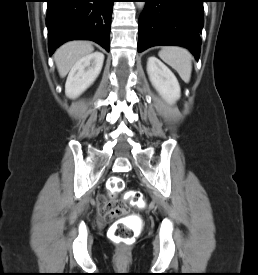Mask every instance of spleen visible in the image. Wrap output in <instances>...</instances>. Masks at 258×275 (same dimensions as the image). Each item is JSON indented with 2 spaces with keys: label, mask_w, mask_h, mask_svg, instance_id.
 I'll use <instances>...</instances> for the list:
<instances>
[{
  "label": "spleen",
  "mask_w": 258,
  "mask_h": 275,
  "mask_svg": "<svg viewBox=\"0 0 258 275\" xmlns=\"http://www.w3.org/2000/svg\"><path fill=\"white\" fill-rule=\"evenodd\" d=\"M159 56L164 62L178 72L185 83L190 81L192 55L187 49L177 46H167L161 49Z\"/></svg>",
  "instance_id": "1"
}]
</instances>
